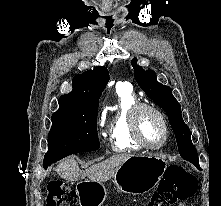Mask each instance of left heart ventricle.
<instances>
[{"mask_svg":"<svg viewBox=\"0 0 221 206\" xmlns=\"http://www.w3.org/2000/svg\"><path fill=\"white\" fill-rule=\"evenodd\" d=\"M139 126L144 140L150 145H157L163 139V127L159 118L150 111L140 115Z\"/></svg>","mask_w":221,"mask_h":206,"instance_id":"left-heart-ventricle-1","label":"left heart ventricle"}]
</instances>
